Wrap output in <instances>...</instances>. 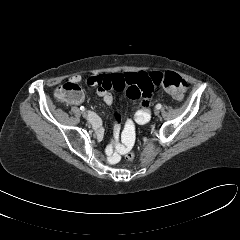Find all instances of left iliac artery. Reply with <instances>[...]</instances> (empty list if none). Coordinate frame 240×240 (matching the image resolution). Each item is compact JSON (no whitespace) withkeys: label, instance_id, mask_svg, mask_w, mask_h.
<instances>
[{"label":"left iliac artery","instance_id":"left-iliac-artery-1","mask_svg":"<svg viewBox=\"0 0 240 240\" xmlns=\"http://www.w3.org/2000/svg\"><path fill=\"white\" fill-rule=\"evenodd\" d=\"M162 105L161 104H157L156 105V109H161Z\"/></svg>","mask_w":240,"mask_h":240}]
</instances>
